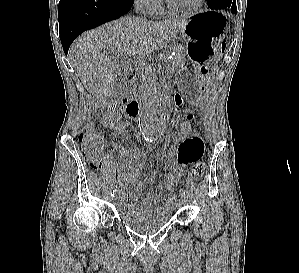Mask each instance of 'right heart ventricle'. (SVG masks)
I'll return each instance as SVG.
<instances>
[{"label": "right heart ventricle", "mask_w": 299, "mask_h": 273, "mask_svg": "<svg viewBox=\"0 0 299 273\" xmlns=\"http://www.w3.org/2000/svg\"><path fill=\"white\" fill-rule=\"evenodd\" d=\"M162 12V9L160 7H157L155 10H153V13L159 14Z\"/></svg>", "instance_id": "1"}]
</instances>
